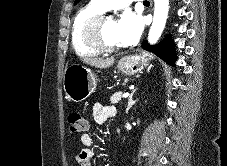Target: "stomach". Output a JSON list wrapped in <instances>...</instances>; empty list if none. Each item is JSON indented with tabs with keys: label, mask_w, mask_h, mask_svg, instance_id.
<instances>
[{
	"label": "stomach",
	"mask_w": 227,
	"mask_h": 166,
	"mask_svg": "<svg viewBox=\"0 0 227 166\" xmlns=\"http://www.w3.org/2000/svg\"><path fill=\"white\" fill-rule=\"evenodd\" d=\"M152 55L142 52L119 60L117 68L125 75H134L148 66ZM97 78L89 69L80 64L69 65L64 72L63 87L66 97L73 102H82L96 89Z\"/></svg>",
	"instance_id": "stomach-1"
}]
</instances>
